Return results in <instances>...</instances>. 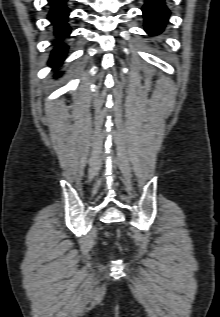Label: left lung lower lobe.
Instances as JSON below:
<instances>
[{"mask_svg": "<svg viewBox=\"0 0 220 317\" xmlns=\"http://www.w3.org/2000/svg\"><path fill=\"white\" fill-rule=\"evenodd\" d=\"M142 10L146 32L150 35L159 34L163 30L170 14L165 6V0H146Z\"/></svg>", "mask_w": 220, "mask_h": 317, "instance_id": "0a47b994", "label": "left lung lower lobe"}]
</instances>
